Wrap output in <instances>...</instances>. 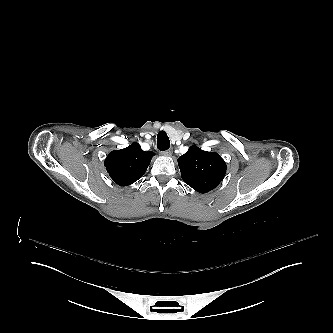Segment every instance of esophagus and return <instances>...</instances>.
Masks as SVG:
<instances>
[{"label":"esophagus","instance_id":"obj_1","mask_svg":"<svg viewBox=\"0 0 333 333\" xmlns=\"http://www.w3.org/2000/svg\"><path fill=\"white\" fill-rule=\"evenodd\" d=\"M172 153H173L172 149H169V150L164 151L163 155L166 156V157H169V156L172 155Z\"/></svg>","mask_w":333,"mask_h":333}]
</instances>
